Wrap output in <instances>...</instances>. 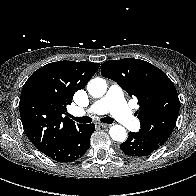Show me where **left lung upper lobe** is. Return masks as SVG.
<instances>
[{
  "label": "left lung upper lobe",
  "instance_id": "obj_1",
  "mask_svg": "<svg viewBox=\"0 0 196 196\" xmlns=\"http://www.w3.org/2000/svg\"><path fill=\"white\" fill-rule=\"evenodd\" d=\"M101 74L138 99V133L160 146L164 144L176 126L180 108L176 88L167 75L151 63L134 58L106 61Z\"/></svg>",
  "mask_w": 196,
  "mask_h": 196
}]
</instances>
